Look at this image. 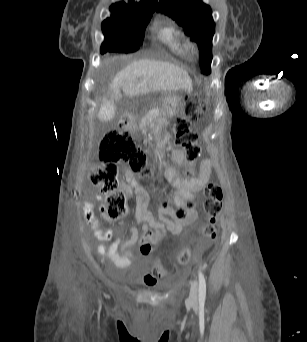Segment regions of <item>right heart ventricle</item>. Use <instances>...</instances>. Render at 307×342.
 Masks as SVG:
<instances>
[{"label": "right heart ventricle", "instance_id": "obj_1", "mask_svg": "<svg viewBox=\"0 0 307 342\" xmlns=\"http://www.w3.org/2000/svg\"><path fill=\"white\" fill-rule=\"evenodd\" d=\"M161 42L177 56H188L191 43L187 32L176 23H169L160 35Z\"/></svg>", "mask_w": 307, "mask_h": 342}]
</instances>
